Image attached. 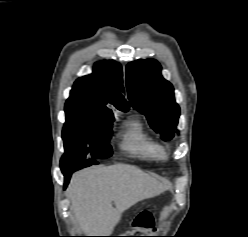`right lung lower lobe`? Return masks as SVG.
I'll use <instances>...</instances> for the list:
<instances>
[{"label":"right lung lower lobe","instance_id":"right-lung-lower-lobe-1","mask_svg":"<svg viewBox=\"0 0 248 237\" xmlns=\"http://www.w3.org/2000/svg\"><path fill=\"white\" fill-rule=\"evenodd\" d=\"M93 164H98V162L96 160H83L61 163V170L65 176L64 188H66V186L68 185L70 176L73 172Z\"/></svg>","mask_w":248,"mask_h":237}]
</instances>
